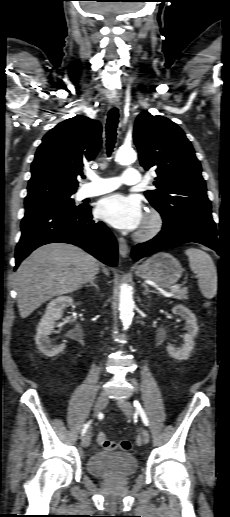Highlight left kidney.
<instances>
[{"mask_svg": "<svg viewBox=\"0 0 230 517\" xmlns=\"http://www.w3.org/2000/svg\"><path fill=\"white\" fill-rule=\"evenodd\" d=\"M173 314L181 316L186 321L185 329L187 333L184 335V344L181 348L167 346L168 353L177 360H186L189 358L194 348V338L198 333L197 319L195 315L187 307L177 305L172 309Z\"/></svg>", "mask_w": 230, "mask_h": 517, "instance_id": "5707ae66", "label": "left kidney"}]
</instances>
